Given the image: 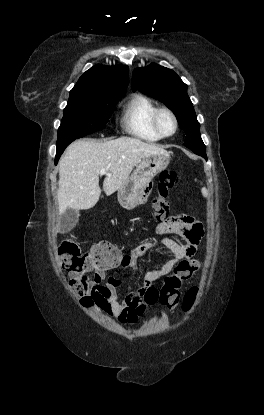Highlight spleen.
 <instances>
[{
    "label": "spleen",
    "instance_id": "1",
    "mask_svg": "<svg viewBox=\"0 0 264 415\" xmlns=\"http://www.w3.org/2000/svg\"><path fill=\"white\" fill-rule=\"evenodd\" d=\"M201 192H202V194H203L204 197H207L208 196V191H207V189L205 187L202 188Z\"/></svg>",
    "mask_w": 264,
    "mask_h": 415
}]
</instances>
